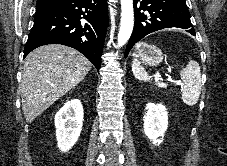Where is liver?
Listing matches in <instances>:
<instances>
[{
	"label": "liver",
	"mask_w": 227,
	"mask_h": 166,
	"mask_svg": "<svg viewBox=\"0 0 227 166\" xmlns=\"http://www.w3.org/2000/svg\"><path fill=\"white\" fill-rule=\"evenodd\" d=\"M91 66L84 55L64 45L50 44L33 50L26 57L20 84L26 121L32 122L78 85Z\"/></svg>",
	"instance_id": "6515ba94"
}]
</instances>
